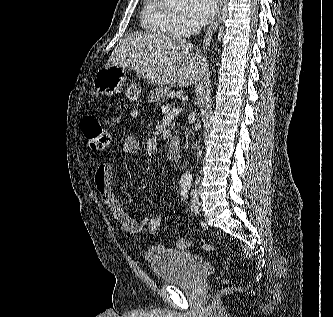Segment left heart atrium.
<instances>
[{
  "label": "left heart atrium",
  "instance_id": "39dd6f15",
  "mask_svg": "<svg viewBox=\"0 0 333 317\" xmlns=\"http://www.w3.org/2000/svg\"><path fill=\"white\" fill-rule=\"evenodd\" d=\"M217 0H189L187 15L196 26L208 23L217 12Z\"/></svg>",
  "mask_w": 333,
  "mask_h": 317
}]
</instances>
